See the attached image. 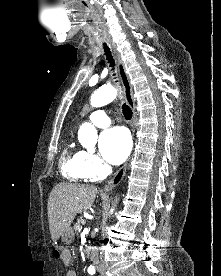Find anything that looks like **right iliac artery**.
<instances>
[{
    "label": "right iliac artery",
    "instance_id": "82829eb1",
    "mask_svg": "<svg viewBox=\"0 0 221 276\" xmlns=\"http://www.w3.org/2000/svg\"><path fill=\"white\" fill-rule=\"evenodd\" d=\"M88 273L91 274V275L94 274L95 273L94 267H89L88 268Z\"/></svg>",
    "mask_w": 221,
    "mask_h": 276
}]
</instances>
